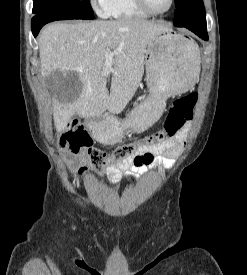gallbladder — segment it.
<instances>
[{"label":"gallbladder","mask_w":247,"mask_h":275,"mask_svg":"<svg viewBox=\"0 0 247 275\" xmlns=\"http://www.w3.org/2000/svg\"><path fill=\"white\" fill-rule=\"evenodd\" d=\"M46 83L59 100L68 98L71 93L76 94L81 88V83L75 72L62 73L56 71L47 76Z\"/></svg>","instance_id":"1"}]
</instances>
